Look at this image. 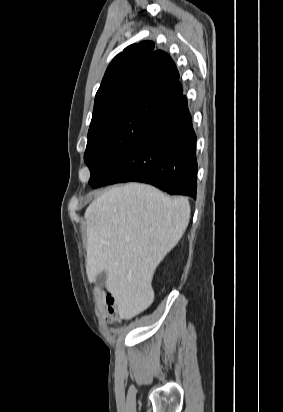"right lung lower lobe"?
Listing matches in <instances>:
<instances>
[{
	"instance_id": "right-lung-lower-lobe-1",
	"label": "right lung lower lobe",
	"mask_w": 283,
	"mask_h": 412,
	"mask_svg": "<svg viewBox=\"0 0 283 412\" xmlns=\"http://www.w3.org/2000/svg\"><path fill=\"white\" fill-rule=\"evenodd\" d=\"M168 77V76H167ZM196 135L183 93L173 99L129 149L95 182L137 181L196 198Z\"/></svg>"
}]
</instances>
